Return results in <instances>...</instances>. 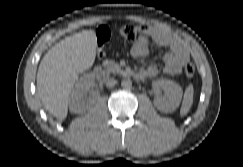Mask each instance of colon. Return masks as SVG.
I'll return each instance as SVG.
<instances>
[{
	"instance_id": "1",
	"label": "colon",
	"mask_w": 243,
	"mask_h": 167,
	"mask_svg": "<svg viewBox=\"0 0 243 167\" xmlns=\"http://www.w3.org/2000/svg\"><path fill=\"white\" fill-rule=\"evenodd\" d=\"M118 34L129 41L136 40L140 37H146L149 32L145 25L127 24L123 25L118 29ZM97 38L100 46H103L110 38V31L107 27L101 26L97 30ZM184 73L187 77H192L195 73V65L189 61L184 67Z\"/></svg>"
}]
</instances>
